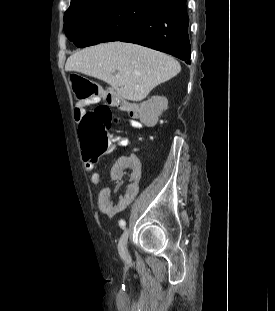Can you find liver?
Wrapping results in <instances>:
<instances>
[{
	"label": "liver",
	"mask_w": 275,
	"mask_h": 311,
	"mask_svg": "<svg viewBox=\"0 0 275 311\" xmlns=\"http://www.w3.org/2000/svg\"><path fill=\"white\" fill-rule=\"evenodd\" d=\"M173 57L122 42H110L85 48L71 55L66 71H76L108 83L120 96L131 101L145 99L160 83L180 72ZM117 71L116 77L114 73Z\"/></svg>",
	"instance_id": "obj_1"
}]
</instances>
